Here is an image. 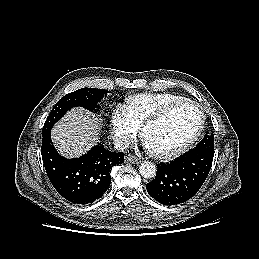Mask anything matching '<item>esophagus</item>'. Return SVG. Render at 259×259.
Segmentation results:
<instances>
[{
  "label": "esophagus",
  "mask_w": 259,
  "mask_h": 259,
  "mask_svg": "<svg viewBox=\"0 0 259 259\" xmlns=\"http://www.w3.org/2000/svg\"><path fill=\"white\" fill-rule=\"evenodd\" d=\"M125 160H126L127 162L134 163V164H138V163L140 162V160H139L137 157L132 156V155H127V156L125 157Z\"/></svg>",
  "instance_id": "obj_1"
}]
</instances>
